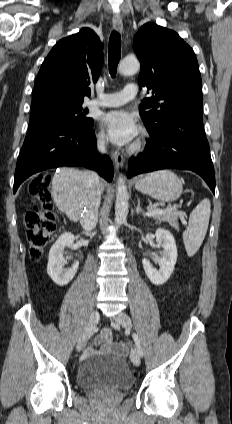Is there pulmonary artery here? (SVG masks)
I'll return each mask as SVG.
<instances>
[{"mask_svg": "<svg viewBox=\"0 0 232 424\" xmlns=\"http://www.w3.org/2000/svg\"><path fill=\"white\" fill-rule=\"evenodd\" d=\"M137 94V85L131 83L120 92L100 94L90 102V105L99 107H118L134 99Z\"/></svg>", "mask_w": 232, "mask_h": 424, "instance_id": "e3ab8cb5", "label": "pulmonary artery"}]
</instances>
